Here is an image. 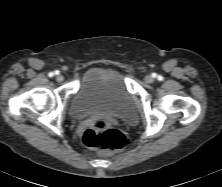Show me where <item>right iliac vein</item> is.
I'll list each match as a JSON object with an SVG mask.
<instances>
[{"label": "right iliac vein", "instance_id": "1", "mask_svg": "<svg viewBox=\"0 0 222 187\" xmlns=\"http://www.w3.org/2000/svg\"><path fill=\"white\" fill-rule=\"evenodd\" d=\"M56 80H57L58 82H62V81L64 80L63 75L58 74V75L56 76Z\"/></svg>", "mask_w": 222, "mask_h": 187}]
</instances>
